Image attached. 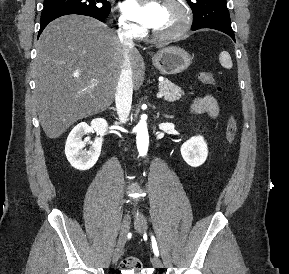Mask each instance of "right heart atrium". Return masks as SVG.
Masks as SVG:
<instances>
[{
	"mask_svg": "<svg viewBox=\"0 0 289 274\" xmlns=\"http://www.w3.org/2000/svg\"><path fill=\"white\" fill-rule=\"evenodd\" d=\"M117 22L120 30L125 34L136 36L140 32V28L122 14L118 15Z\"/></svg>",
	"mask_w": 289,
	"mask_h": 274,
	"instance_id": "right-heart-atrium-1",
	"label": "right heart atrium"
}]
</instances>
